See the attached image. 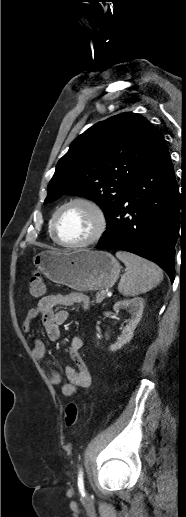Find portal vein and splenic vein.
Segmentation results:
<instances>
[{
	"label": "portal vein and splenic vein",
	"mask_w": 186,
	"mask_h": 517,
	"mask_svg": "<svg viewBox=\"0 0 186 517\" xmlns=\"http://www.w3.org/2000/svg\"><path fill=\"white\" fill-rule=\"evenodd\" d=\"M102 293L107 294L108 296H111V294H110V293H108L107 291H104V290H103V291H102Z\"/></svg>",
	"instance_id": "18ae733b"
}]
</instances>
